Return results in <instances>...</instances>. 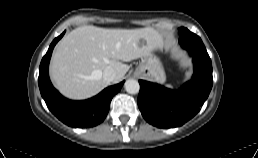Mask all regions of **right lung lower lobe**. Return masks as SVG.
Instances as JSON below:
<instances>
[{
  "label": "right lung lower lobe",
  "mask_w": 258,
  "mask_h": 158,
  "mask_svg": "<svg viewBox=\"0 0 258 158\" xmlns=\"http://www.w3.org/2000/svg\"><path fill=\"white\" fill-rule=\"evenodd\" d=\"M63 35L64 33L53 40L41 61L38 78L41 96L49 110L66 125L75 128L96 126L107 116L111 99L120 91L124 81L110 86L97 96L84 101H71L60 95L50 82L48 66L52 50Z\"/></svg>",
  "instance_id": "98d812e1"
}]
</instances>
